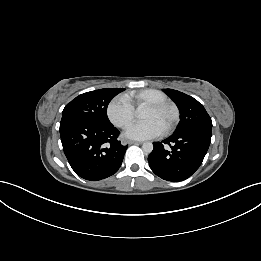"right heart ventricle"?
<instances>
[{
	"label": "right heart ventricle",
	"mask_w": 261,
	"mask_h": 261,
	"mask_svg": "<svg viewBox=\"0 0 261 261\" xmlns=\"http://www.w3.org/2000/svg\"><path fill=\"white\" fill-rule=\"evenodd\" d=\"M126 98L133 107H141L144 105L163 103L167 101L166 95L156 89H143L137 92H131L126 95Z\"/></svg>",
	"instance_id": "1"
}]
</instances>
